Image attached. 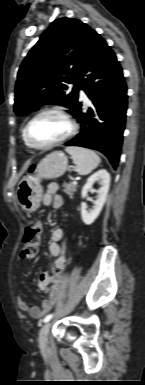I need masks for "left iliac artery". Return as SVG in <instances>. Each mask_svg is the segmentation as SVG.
Returning <instances> with one entry per match:
<instances>
[{
    "mask_svg": "<svg viewBox=\"0 0 145 385\" xmlns=\"http://www.w3.org/2000/svg\"><path fill=\"white\" fill-rule=\"evenodd\" d=\"M52 317H53V314H49V315L45 316V318L43 319V322L50 321L52 319Z\"/></svg>",
    "mask_w": 145,
    "mask_h": 385,
    "instance_id": "obj_1",
    "label": "left iliac artery"
}]
</instances>
